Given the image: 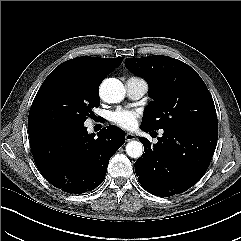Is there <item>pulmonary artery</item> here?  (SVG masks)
Masks as SVG:
<instances>
[{
    "label": "pulmonary artery",
    "mask_w": 241,
    "mask_h": 241,
    "mask_svg": "<svg viewBox=\"0 0 241 241\" xmlns=\"http://www.w3.org/2000/svg\"><path fill=\"white\" fill-rule=\"evenodd\" d=\"M149 89L146 80L139 77H131L126 81L127 95L134 100L140 99Z\"/></svg>",
    "instance_id": "e3ab8cb5"
}]
</instances>
